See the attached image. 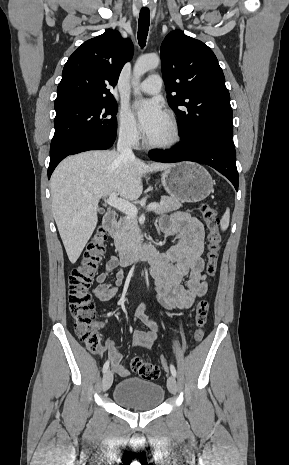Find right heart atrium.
<instances>
[{"label":"right heart atrium","instance_id":"obj_1","mask_svg":"<svg viewBox=\"0 0 289 465\" xmlns=\"http://www.w3.org/2000/svg\"><path fill=\"white\" fill-rule=\"evenodd\" d=\"M117 133L119 138L128 144H135L139 140L138 124L127 107H122L118 113Z\"/></svg>","mask_w":289,"mask_h":465}]
</instances>
